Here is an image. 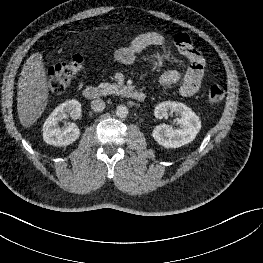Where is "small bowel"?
<instances>
[{
  "label": "small bowel",
  "instance_id": "small-bowel-1",
  "mask_svg": "<svg viewBox=\"0 0 263 263\" xmlns=\"http://www.w3.org/2000/svg\"><path fill=\"white\" fill-rule=\"evenodd\" d=\"M169 46L177 49L188 60V66L184 75L175 69L165 71L159 77V84L168 86L182 81L179 93L185 97L193 96L201 89L206 62L204 57L194 48L187 34L179 33L170 42L161 33H143L135 37L128 46L115 50L113 56L117 62L130 65L135 61L137 54L149 47Z\"/></svg>",
  "mask_w": 263,
  "mask_h": 263
}]
</instances>
